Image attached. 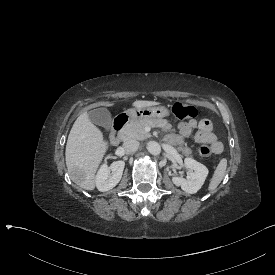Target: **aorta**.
Wrapping results in <instances>:
<instances>
[{
  "label": "aorta",
  "mask_w": 275,
  "mask_h": 275,
  "mask_svg": "<svg viewBox=\"0 0 275 275\" xmlns=\"http://www.w3.org/2000/svg\"><path fill=\"white\" fill-rule=\"evenodd\" d=\"M150 154L158 156L161 153V146L158 142L150 141L147 147Z\"/></svg>",
  "instance_id": "762f6f07"
}]
</instances>
